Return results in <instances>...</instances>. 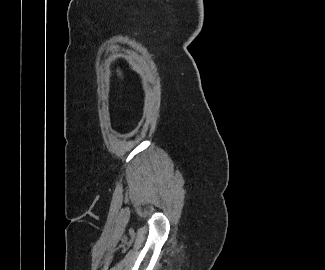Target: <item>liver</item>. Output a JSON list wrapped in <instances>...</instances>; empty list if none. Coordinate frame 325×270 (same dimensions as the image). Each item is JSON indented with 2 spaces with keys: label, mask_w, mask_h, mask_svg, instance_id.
I'll return each instance as SVG.
<instances>
[{
  "label": "liver",
  "mask_w": 325,
  "mask_h": 270,
  "mask_svg": "<svg viewBox=\"0 0 325 270\" xmlns=\"http://www.w3.org/2000/svg\"><path fill=\"white\" fill-rule=\"evenodd\" d=\"M118 75L121 77L122 76V73L118 70Z\"/></svg>",
  "instance_id": "liver-1"
}]
</instances>
